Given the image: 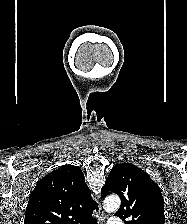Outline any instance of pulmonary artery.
I'll return each mask as SVG.
<instances>
[{"mask_svg": "<svg viewBox=\"0 0 187 224\" xmlns=\"http://www.w3.org/2000/svg\"><path fill=\"white\" fill-rule=\"evenodd\" d=\"M110 224H124V222L121 219L115 218L110 222Z\"/></svg>", "mask_w": 187, "mask_h": 224, "instance_id": "1", "label": "pulmonary artery"}]
</instances>
